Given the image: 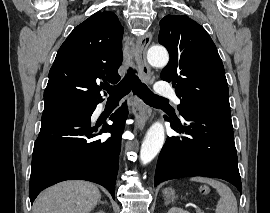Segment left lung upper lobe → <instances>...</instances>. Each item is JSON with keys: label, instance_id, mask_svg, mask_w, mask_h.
Returning a JSON list of instances; mask_svg holds the SVG:
<instances>
[{"label": "left lung upper lobe", "instance_id": "1", "mask_svg": "<svg viewBox=\"0 0 270 213\" xmlns=\"http://www.w3.org/2000/svg\"><path fill=\"white\" fill-rule=\"evenodd\" d=\"M159 43L170 60L161 79L171 82L180 99V114L215 111L230 114L229 90L223 63L205 29L186 15L160 21Z\"/></svg>", "mask_w": 270, "mask_h": 213}]
</instances>
